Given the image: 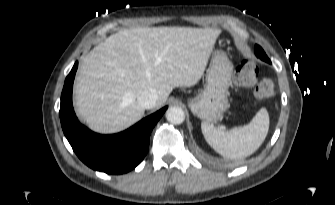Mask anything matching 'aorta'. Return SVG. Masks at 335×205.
<instances>
[{"instance_id":"aorta-1","label":"aorta","mask_w":335,"mask_h":205,"mask_svg":"<svg viewBox=\"0 0 335 205\" xmlns=\"http://www.w3.org/2000/svg\"><path fill=\"white\" fill-rule=\"evenodd\" d=\"M166 119L172 124H181L185 119V113L182 108L172 106L166 111Z\"/></svg>"}]
</instances>
